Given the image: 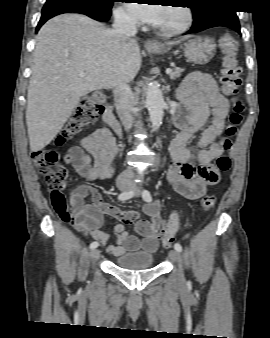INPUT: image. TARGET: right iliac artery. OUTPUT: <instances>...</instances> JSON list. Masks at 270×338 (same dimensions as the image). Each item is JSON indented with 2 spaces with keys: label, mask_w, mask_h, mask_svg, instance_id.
Instances as JSON below:
<instances>
[{
  "label": "right iliac artery",
  "mask_w": 270,
  "mask_h": 338,
  "mask_svg": "<svg viewBox=\"0 0 270 338\" xmlns=\"http://www.w3.org/2000/svg\"><path fill=\"white\" fill-rule=\"evenodd\" d=\"M135 191L134 190H131V191H125V192H122L119 196H118V199L121 200V201H125V200H128L130 198L133 197ZM98 242L97 241H93L91 244H90V249H94L96 247H98Z\"/></svg>",
  "instance_id": "right-iliac-artery-1"
}]
</instances>
